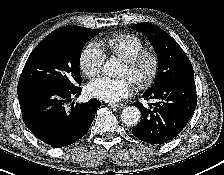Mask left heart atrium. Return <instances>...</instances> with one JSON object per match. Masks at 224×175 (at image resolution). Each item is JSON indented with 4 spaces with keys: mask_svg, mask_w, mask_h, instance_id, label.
I'll return each instance as SVG.
<instances>
[{
    "mask_svg": "<svg viewBox=\"0 0 224 175\" xmlns=\"http://www.w3.org/2000/svg\"><path fill=\"white\" fill-rule=\"evenodd\" d=\"M88 93L102 101L119 102L130 97L134 92V82L128 77H101L92 81L87 87Z\"/></svg>",
    "mask_w": 224,
    "mask_h": 175,
    "instance_id": "39dd6f15",
    "label": "left heart atrium"
}]
</instances>
